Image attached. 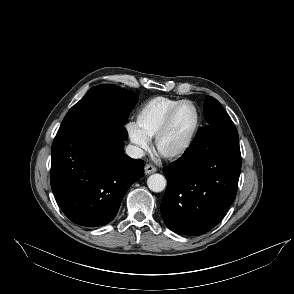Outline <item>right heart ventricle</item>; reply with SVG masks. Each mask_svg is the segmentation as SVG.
Here are the masks:
<instances>
[{
    "label": "right heart ventricle",
    "instance_id": "right-heart-ventricle-1",
    "mask_svg": "<svg viewBox=\"0 0 294 294\" xmlns=\"http://www.w3.org/2000/svg\"><path fill=\"white\" fill-rule=\"evenodd\" d=\"M183 99L155 97L144 103L136 115V126L148 139L154 138L170 109Z\"/></svg>",
    "mask_w": 294,
    "mask_h": 294
}]
</instances>
